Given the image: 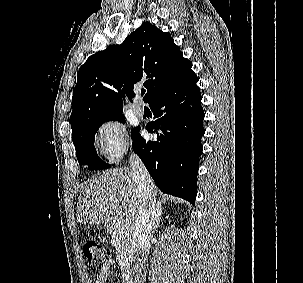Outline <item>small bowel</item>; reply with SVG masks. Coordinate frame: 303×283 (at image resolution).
<instances>
[{"label":"small bowel","mask_w":303,"mask_h":283,"mask_svg":"<svg viewBox=\"0 0 303 283\" xmlns=\"http://www.w3.org/2000/svg\"><path fill=\"white\" fill-rule=\"evenodd\" d=\"M114 261L109 259L106 261L104 268L99 272L95 283H106L109 279L110 268L113 266Z\"/></svg>","instance_id":"obj_1"}]
</instances>
